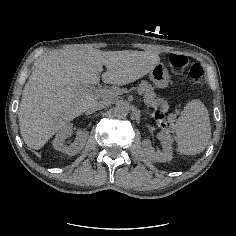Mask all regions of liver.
<instances>
[{
  "mask_svg": "<svg viewBox=\"0 0 236 236\" xmlns=\"http://www.w3.org/2000/svg\"><path fill=\"white\" fill-rule=\"evenodd\" d=\"M144 51H103L71 48L40 57L26 82L18 109L25 144L41 149L58 131L97 102L99 94L81 90L79 84L102 81L125 85L146 75Z\"/></svg>",
  "mask_w": 236,
  "mask_h": 236,
  "instance_id": "6515ba94",
  "label": "liver"
}]
</instances>
